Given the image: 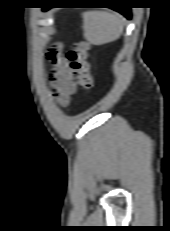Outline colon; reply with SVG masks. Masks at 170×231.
I'll return each instance as SVG.
<instances>
[{
	"label": "colon",
	"instance_id": "obj_1",
	"mask_svg": "<svg viewBox=\"0 0 170 231\" xmlns=\"http://www.w3.org/2000/svg\"><path fill=\"white\" fill-rule=\"evenodd\" d=\"M90 44L85 41L74 43L68 52L69 67L77 77L78 84L86 91H90L94 84L92 64L90 60Z\"/></svg>",
	"mask_w": 170,
	"mask_h": 231
}]
</instances>
